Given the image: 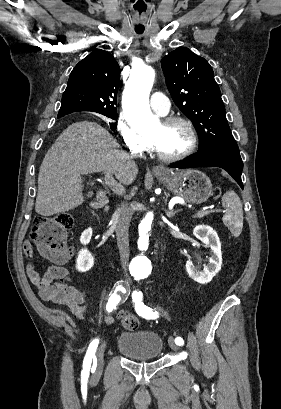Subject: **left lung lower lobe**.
Listing matches in <instances>:
<instances>
[{
	"instance_id": "obj_1",
	"label": "left lung lower lobe",
	"mask_w": 281,
	"mask_h": 409,
	"mask_svg": "<svg viewBox=\"0 0 281 409\" xmlns=\"http://www.w3.org/2000/svg\"><path fill=\"white\" fill-rule=\"evenodd\" d=\"M170 167H221L226 170L243 189L241 181L243 162L239 151L226 149H201L185 161L172 164Z\"/></svg>"
}]
</instances>
